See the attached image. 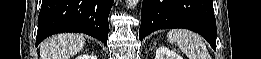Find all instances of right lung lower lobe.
Masks as SVG:
<instances>
[{"label": "right lung lower lobe", "mask_w": 261, "mask_h": 59, "mask_svg": "<svg viewBox=\"0 0 261 59\" xmlns=\"http://www.w3.org/2000/svg\"><path fill=\"white\" fill-rule=\"evenodd\" d=\"M114 0H43L38 17L36 46L52 34L91 35L107 45L108 16Z\"/></svg>", "instance_id": "98d812e1"}]
</instances>
